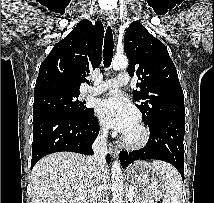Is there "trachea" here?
<instances>
[{
  "label": "trachea",
  "mask_w": 214,
  "mask_h": 203,
  "mask_svg": "<svg viewBox=\"0 0 214 203\" xmlns=\"http://www.w3.org/2000/svg\"><path fill=\"white\" fill-rule=\"evenodd\" d=\"M114 49V40H113V33L110 26L106 29L105 39H104V50H103V60L104 66L107 68L111 64V59L113 55Z\"/></svg>",
  "instance_id": "trachea-1"
}]
</instances>
